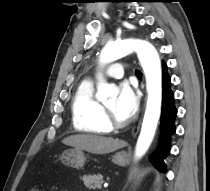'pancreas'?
I'll return each instance as SVG.
<instances>
[{"instance_id": "1", "label": "pancreas", "mask_w": 210, "mask_h": 191, "mask_svg": "<svg viewBox=\"0 0 210 191\" xmlns=\"http://www.w3.org/2000/svg\"><path fill=\"white\" fill-rule=\"evenodd\" d=\"M82 181L87 188L92 190L101 189L104 182L102 175H84Z\"/></svg>"}]
</instances>
